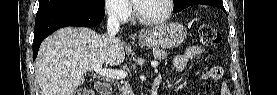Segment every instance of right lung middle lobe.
Here are the masks:
<instances>
[{
	"label": "right lung middle lobe",
	"mask_w": 277,
	"mask_h": 95,
	"mask_svg": "<svg viewBox=\"0 0 277 95\" xmlns=\"http://www.w3.org/2000/svg\"><path fill=\"white\" fill-rule=\"evenodd\" d=\"M104 9V0H40L37 15L52 12H86Z\"/></svg>",
	"instance_id": "1"
}]
</instances>
